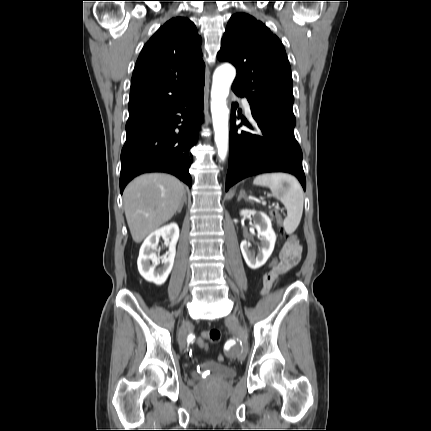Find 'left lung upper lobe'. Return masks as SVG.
I'll use <instances>...</instances> for the list:
<instances>
[{
    "instance_id": "obj_1",
    "label": "left lung upper lobe",
    "mask_w": 431,
    "mask_h": 431,
    "mask_svg": "<svg viewBox=\"0 0 431 431\" xmlns=\"http://www.w3.org/2000/svg\"><path fill=\"white\" fill-rule=\"evenodd\" d=\"M217 58L236 67L232 89L246 97L250 105L295 118L291 68L285 49L262 22L245 13L233 15Z\"/></svg>"
}]
</instances>
